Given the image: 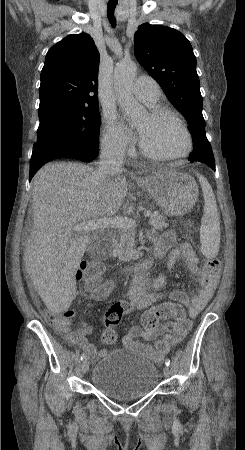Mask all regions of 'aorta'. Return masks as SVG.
Wrapping results in <instances>:
<instances>
[{
    "instance_id": "762f6f07",
    "label": "aorta",
    "mask_w": 245,
    "mask_h": 450,
    "mask_svg": "<svg viewBox=\"0 0 245 450\" xmlns=\"http://www.w3.org/2000/svg\"><path fill=\"white\" fill-rule=\"evenodd\" d=\"M136 74L137 68L133 62H120L114 70L115 88L119 103L132 124L140 122L146 114L143 106L134 99L130 92Z\"/></svg>"
}]
</instances>
